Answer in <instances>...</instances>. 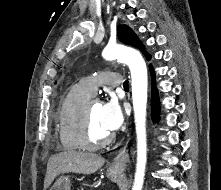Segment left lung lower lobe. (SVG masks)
I'll list each match as a JSON object with an SVG mask.
<instances>
[{
    "instance_id": "1",
    "label": "left lung lower lobe",
    "mask_w": 221,
    "mask_h": 190,
    "mask_svg": "<svg viewBox=\"0 0 221 190\" xmlns=\"http://www.w3.org/2000/svg\"><path fill=\"white\" fill-rule=\"evenodd\" d=\"M150 72L152 76V96H151L152 119H153V122H157L158 117H159V108H160L159 96H158L157 89L155 86V73L151 65H150Z\"/></svg>"
}]
</instances>
